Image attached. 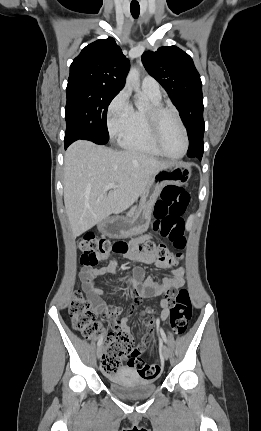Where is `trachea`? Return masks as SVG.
Listing matches in <instances>:
<instances>
[{
    "label": "trachea",
    "instance_id": "1",
    "mask_svg": "<svg viewBox=\"0 0 261 431\" xmlns=\"http://www.w3.org/2000/svg\"><path fill=\"white\" fill-rule=\"evenodd\" d=\"M130 12L135 19L138 18L139 14H140L139 4L138 3H131Z\"/></svg>",
    "mask_w": 261,
    "mask_h": 431
}]
</instances>
